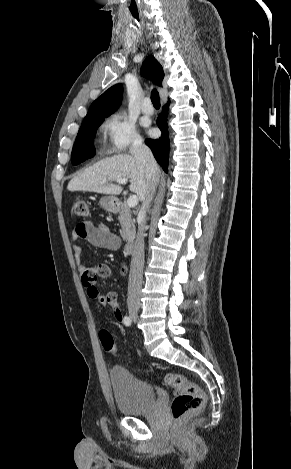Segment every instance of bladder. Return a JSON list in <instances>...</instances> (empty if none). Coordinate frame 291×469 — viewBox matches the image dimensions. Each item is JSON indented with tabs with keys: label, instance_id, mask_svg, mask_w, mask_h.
<instances>
[{
	"label": "bladder",
	"instance_id": "obj_1",
	"mask_svg": "<svg viewBox=\"0 0 291 469\" xmlns=\"http://www.w3.org/2000/svg\"><path fill=\"white\" fill-rule=\"evenodd\" d=\"M109 379L118 411L126 416H138L151 410L155 402L153 387L134 376L122 366L109 371Z\"/></svg>",
	"mask_w": 291,
	"mask_h": 469
}]
</instances>
